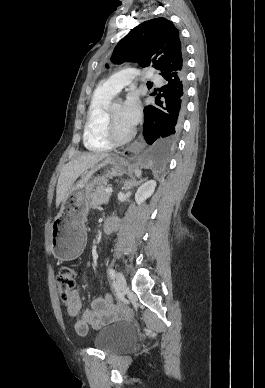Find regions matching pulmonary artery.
Masks as SVG:
<instances>
[{
	"label": "pulmonary artery",
	"mask_w": 265,
	"mask_h": 388,
	"mask_svg": "<svg viewBox=\"0 0 265 388\" xmlns=\"http://www.w3.org/2000/svg\"><path fill=\"white\" fill-rule=\"evenodd\" d=\"M146 69L151 67L146 66ZM146 73L145 71L143 72ZM124 75H110L109 79H104L105 90H122L123 86H128L129 82H135V71L133 69H125L123 71ZM163 75H159L157 72H154L152 75L147 77L149 82H163Z\"/></svg>",
	"instance_id": "pulmonary-artery-1"
}]
</instances>
